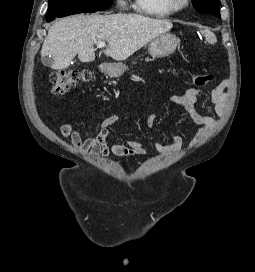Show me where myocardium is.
<instances>
[{
  "label": "myocardium",
  "instance_id": "myocardium-1",
  "mask_svg": "<svg viewBox=\"0 0 255 272\" xmlns=\"http://www.w3.org/2000/svg\"><path fill=\"white\" fill-rule=\"evenodd\" d=\"M164 1L166 6L173 12L184 10L190 2V0H164Z\"/></svg>",
  "mask_w": 255,
  "mask_h": 272
}]
</instances>
